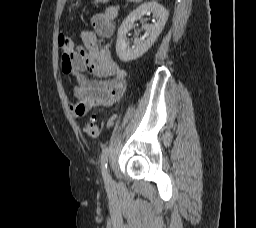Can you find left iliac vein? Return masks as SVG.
I'll return each instance as SVG.
<instances>
[{"mask_svg":"<svg viewBox=\"0 0 256 228\" xmlns=\"http://www.w3.org/2000/svg\"><path fill=\"white\" fill-rule=\"evenodd\" d=\"M104 179H105V183H106L107 185H110V184L112 183V178H111V176H110V174L108 173L107 170H106Z\"/></svg>","mask_w":256,"mask_h":228,"instance_id":"4c4485c4","label":"left iliac vein"}]
</instances>
